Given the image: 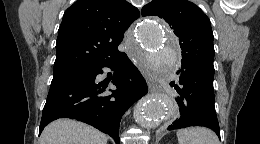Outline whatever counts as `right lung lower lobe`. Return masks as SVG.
<instances>
[{
	"instance_id": "right-lung-lower-lobe-1",
	"label": "right lung lower lobe",
	"mask_w": 260,
	"mask_h": 144,
	"mask_svg": "<svg viewBox=\"0 0 260 144\" xmlns=\"http://www.w3.org/2000/svg\"><path fill=\"white\" fill-rule=\"evenodd\" d=\"M103 67L115 71L112 83L117 89L112 94L106 92L107 85L95 82ZM147 91L145 79L124 52L71 69L53 77L39 132L51 121L66 117L92 125L119 144L121 117Z\"/></svg>"
}]
</instances>
